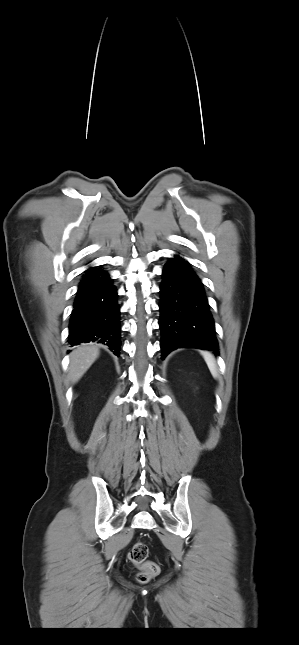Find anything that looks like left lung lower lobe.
Wrapping results in <instances>:
<instances>
[{"label":"left lung lower lobe","mask_w":299,"mask_h":645,"mask_svg":"<svg viewBox=\"0 0 299 645\" xmlns=\"http://www.w3.org/2000/svg\"><path fill=\"white\" fill-rule=\"evenodd\" d=\"M162 277L159 303L162 359L177 348L218 352L203 284L190 263L175 255L166 263Z\"/></svg>","instance_id":"1"}]
</instances>
